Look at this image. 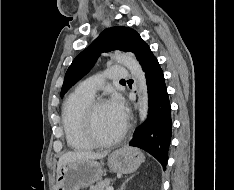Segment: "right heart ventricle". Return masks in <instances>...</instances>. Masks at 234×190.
Segmentation results:
<instances>
[{
    "instance_id": "1",
    "label": "right heart ventricle",
    "mask_w": 234,
    "mask_h": 190,
    "mask_svg": "<svg viewBox=\"0 0 234 190\" xmlns=\"http://www.w3.org/2000/svg\"><path fill=\"white\" fill-rule=\"evenodd\" d=\"M92 99L93 97L75 90L64 101L62 125L67 143L74 149L85 150L94 146L84 127V111Z\"/></svg>"
}]
</instances>
